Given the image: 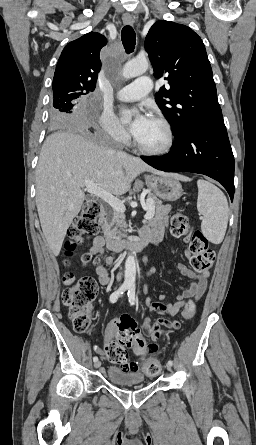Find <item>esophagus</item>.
Here are the masks:
<instances>
[{
  "label": "esophagus",
  "mask_w": 256,
  "mask_h": 445,
  "mask_svg": "<svg viewBox=\"0 0 256 445\" xmlns=\"http://www.w3.org/2000/svg\"><path fill=\"white\" fill-rule=\"evenodd\" d=\"M123 22H124V24H126V25H133L134 20H133V18L130 17V16H125V17H123Z\"/></svg>",
  "instance_id": "34e87169"
}]
</instances>
